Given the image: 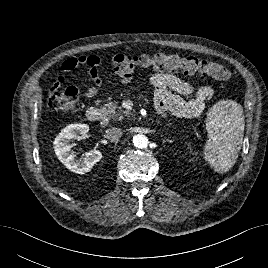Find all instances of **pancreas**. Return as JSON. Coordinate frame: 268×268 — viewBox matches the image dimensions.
I'll use <instances>...</instances> for the list:
<instances>
[{
	"instance_id": "obj_1",
	"label": "pancreas",
	"mask_w": 268,
	"mask_h": 268,
	"mask_svg": "<svg viewBox=\"0 0 268 268\" xmlns=\"http://www.w3.org/2000/svg\"><path fill=\"white\" fill-rule=\"evenodd\" d=\"M103 109L112 120H122L124 117L132 115L130 111L117 107V104L113 102H108L105 104Z\"/></svg>"
}]
</instances>
